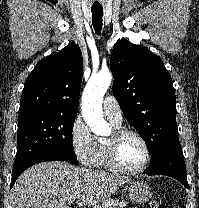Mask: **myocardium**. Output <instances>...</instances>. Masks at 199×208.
<instances>
[{
    "mask_svg": "<svg viewBox=\"0 0 199 208\" xmlns=\"http://www.w3.org/2000/svg\"><path fill=\"white\" fill-rule=\"evenodd\" d=\"M127 135H132L135 136L137 139H139L145 149V155H146L145 160L141 165H139L136 168H128L124 166L118 156V143L124 136ZM104 145H105L106 156L109 164L114 169L120 172L126 174H138L142 172L151 162L152 155L147 140L141 133H139L134 129L125 128V127L116 128L113 131L112 136L105 141Z\"/></svg>",
    "mask_w": 199,
    "mask_h": 208,
    "instance_id": "myocardium-1",
    "label": "myocardium"
}]
</instances>
